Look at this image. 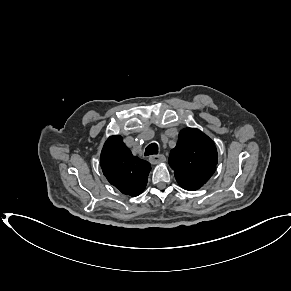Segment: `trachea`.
Returning <instances> with one entry per match:
<instances>
[{"label": "trachea", "mask_w": 291, "mask_h": 291, "mask_svg": "<svg viewBox=\"0 0 291 291\" xmlns=\"http://www.w3.org/2000/svg\"><path fill=\"white\" fill-rule=\"evenodd\" d=\"M158 154V145L156 143H151L145 149V156Z\"/></svg>", "instance_id": "trachea-1"}]
</instances>
